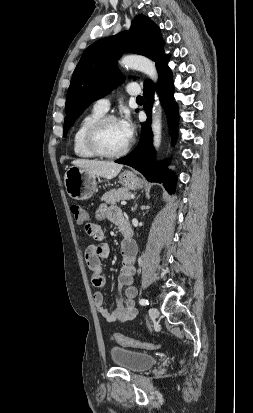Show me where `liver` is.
Listing matches in <instances>:
<instances>
[{"label": "liver", "instance_id": "6515ba94", "mask_svg": "<svg viewBox=\"0 0 253 413\" xmlns=\"http://www.w3.org/2000/svg\"><path fill=\"white\" fill-rule=\"evenodd\" d=\"M74 166L84 169L85 171L95 176H100L107 179L116 177L121 169L122 164L108 161L77 159L72 161Z\"/></svg>", "mask_w": 253, "mask_h": 413}]
</instances>
